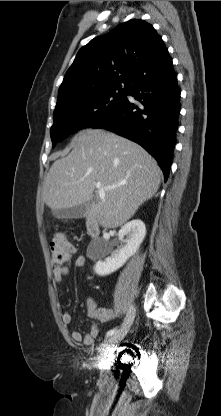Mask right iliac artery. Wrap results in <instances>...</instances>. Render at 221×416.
Instances as JSON below:
<instances>
[{
    "mask_svg": "<svg viewBox=\"0 0 221 416\" xmlns=\"http://www.w3.org/2000/svg\"><path fill=\"white\" fill-rule=\"evenodd\" d=\"M118 331V329L117 328H114V329H111V330H109L107 333H106V336L107 337H109V336H112L114 333H116Z\"/></svg>",
    "mask_w": 221,
    "mask_h": 416,
    "instance_id": "obj_1",
    "label": "right iliac artery"
}]
</instances>
